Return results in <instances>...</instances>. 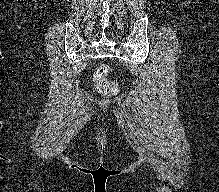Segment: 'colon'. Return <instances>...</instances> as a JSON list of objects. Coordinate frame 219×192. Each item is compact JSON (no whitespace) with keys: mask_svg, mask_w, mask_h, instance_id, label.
<instances>
[{"mask_svg":"<svg viewBox=\"0 0 219 192\" xmlns=\"http://www.w3.org/2000/svg\"><path fill=\"white\" fill-rule=\"evenodd\" d=\"M112 71L111 66L101 65L94 74V82L99 93L105 96H116L120 92V86L117 82L108 78Z\"/></svg>","mask_w":219,"mask_h":192,"instance_id":"colon-1","label":"colon"}]
</instances>
